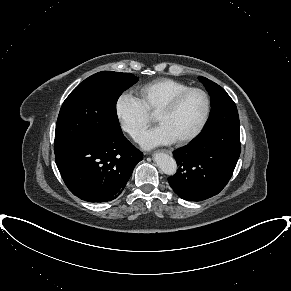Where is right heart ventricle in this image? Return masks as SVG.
<instances>
[{
	"label": "right heart ventricle",
	"mask_w": 291,
	"mask_h": 291,
	"mask_svg": "<svg viewBox=\"0 0 291 291\" xmlns=\"http://www.w3.org/2000/svg\"><path fill=\"white\" fill-rule=\"evenodd\" d=\"M188 87V84L175 79L158 78L140 86L138 95L147 111L156 114L170 98Z\"/></svg>",
	"instance_id": "1"
}]
</instances>
